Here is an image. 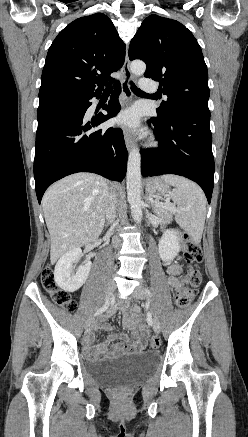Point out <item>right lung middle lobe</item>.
Wrapping results in <instances>:
<instances>
[{"instance_id": "right-lung-middle-lobe-1", "label": "right lung middle lobe", "mask_w": 248, "mask_h": 437, "mask_svg": "<svg viewBox=\"0 0 248 437\" xmlns=\"http://www.w3.org/2000/svg\"><path fill=\"white\" fill-rule=\"evenodd\" d=\"M79 95L67 93V92H61V91H51L47 92L45 94L39 95L40 101L47 98H71L75 99Z\"/></svg>"}]
</instances>
